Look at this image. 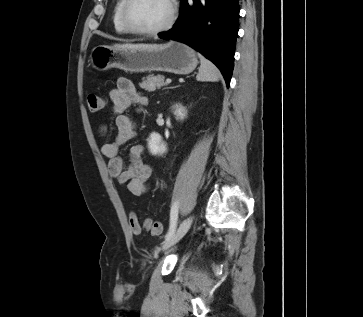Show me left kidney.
I'll use <instances>...</instances> for the list:
<instances>
[{
  "instance_id": "left-kidney-1",
  "label": "left kidney",
  "mask_w": 363,
  "mask_h": 317,
  "mask_svg": "<svg viewBox=\"0 0 363 317\" xmlns=\"http://www.w3.org/2000/svg\"><path fill=\"white\" fill-rule=\"evenodd\" d=\"M176 119L183 120L185 117V108L181 105H174ZM148 148L154 155L163 154L166 152V144L162 141V137L157 133H152L148 140Z\"/></svg>"
}]
</instances>
